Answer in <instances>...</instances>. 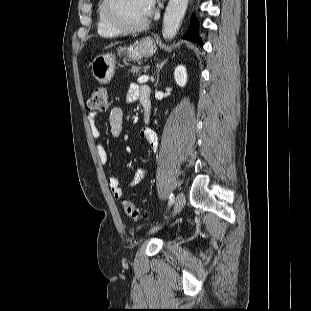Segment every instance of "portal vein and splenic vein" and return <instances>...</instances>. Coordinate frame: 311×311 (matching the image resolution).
<instances>
[{"label":"portal vein and splenic vein","instance_id":"obj_1","mask_svg":"<svg viewBox=\"0 0 311 311\" xmlns=\"http://www.w3.org/2000/svg\"><path fill=\"white\" fill-rule=\"evenodd\" d=\"M148 80H149V76H147V75H142L141 77L138 78L137 81H138L140 84H143V83H146Z\"/></svg>","mask_w":311,"mask_h":311}]
</instances>
